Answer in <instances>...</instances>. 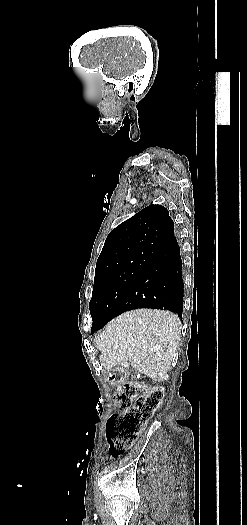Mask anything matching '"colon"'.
<instances>
[{"instance_id":"obj_1","label":"colon","mask_w":247,"mask_h":525,"mask_svg":"<svg viewBox=\"0 0 247 525\" xmlns=\"http://www.w3.org/2000/svg\"><path fill=\"white\" fill-rule=\"evenodd\" d=\"M165 392L160 387L140 385L126 381L117 387L114 398L122 408H128L122 414L112 415L106 431L109 454L114 458L122 457L133 444L143 426L160 408Z\"/></svg>"}]
</instances>
